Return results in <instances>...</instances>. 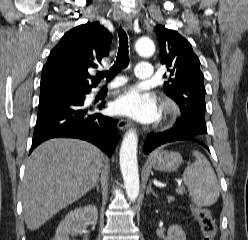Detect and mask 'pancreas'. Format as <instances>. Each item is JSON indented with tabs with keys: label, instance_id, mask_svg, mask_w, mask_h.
<instances>
[{
	"label": "pancreas",
	"instance_id": "pancreas-1",
	"mask_svg": "<svg viewBox=\"0 0 248 240\" xmlns=\"http://www.w3.org/2000/svg\"><path fill=\"white\" fill-rule=\"evenodd\" d=\"M173 200V197H168V201H172Z\"/></svg>",
	"mask_w": 248,
	"mask_h": 240
}]
</instances>
